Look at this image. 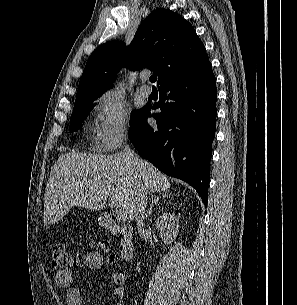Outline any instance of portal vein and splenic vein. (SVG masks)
Wrapping results in <instances>:
<instances>
[{"label": "portal vein and splenic vein", "instance_id": "portal-vein-and-splenic-vein-1", "mask_svg": "<svg viewBox=\"0 0 297 305\" xmlns=\"http://www.w3.org/2000/svg\"><path fill=\"white\" fill-rule=\"evenodd\" d=\"M117 220L124 221L127 219V214L124 210L119 209L116 211Z\"/></svg>", "mask_w": 297, "mask_h": 305}]
</instances>
